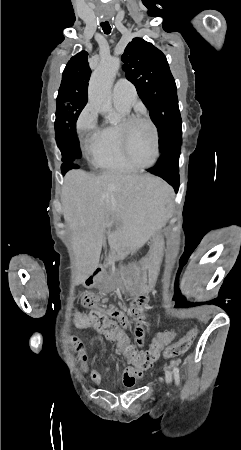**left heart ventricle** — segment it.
I'll return each instance as SVG.
<instances>
[{"instance_id": "1", "label": "left heart ventricle", "mask_w": 241, "mask_h": 450, "mask_svg": "<svg viewBox=\"0 0 241 450\" xmlns=\"http://www.w3.org/2000/svg\"><path fill=\"white\" fill-rule=\"evenodd\" d=\"M151 130H156V127L147 115L140 114L136 121L130 123L128 143L124 145L125 152L131 155L127 159L129 165H148L152 157Z\"/></svg>"}]
</instances>
